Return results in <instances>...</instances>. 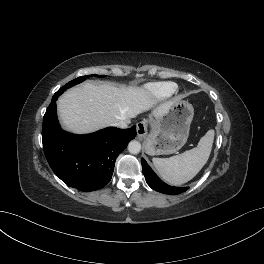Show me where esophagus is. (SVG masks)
I'll use <instances>...</instances> for the list:
<instances>
[{
	"label": "esophagus",
	"instance_id": "34e87169",
	"mask_svg": "<svg viewBox=\"0 0 264 264\" xmlns=\"http://www.w3.org/2000/svg\"><path fill=\"white\" fill-rule=\"evenodd\" d=\"M148 124H149V121L147 119H144L141 122L137 123L136 130H137V136L139 139H143L146 137L147 132H148Z\"/></svg>",
	"mask_w": 264,
	"mask_h": 264
}]
</instances>
